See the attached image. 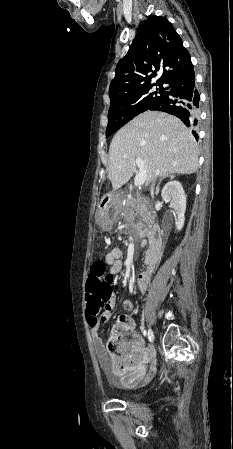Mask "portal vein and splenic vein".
Wrapping results in <instances>:
<instances>
[{
	"instance_id": "portal-vein-and-splenic-vein-1",
	"label": "portal vein and splenic vein",
	"mask_w": 233,
	"mask_h": 449,
	"mask_svg": "<svg viewBox=\"0 0 233 449\" xmlns=\"http://www.w3.org/2000/svg\"><path fill=\"white\" fill-rule=\"evenodd\" d=\"M135 162L137 167L139 168V171L135 176L134 185L138 187L144 184L147 177V171L145 168V163L141 158H136Z\"/></svg>"
}]
</instances>
